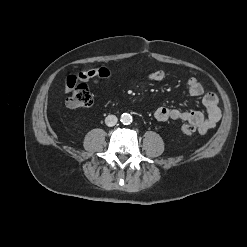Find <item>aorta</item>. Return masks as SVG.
<instances>
[{
	"label": "aorta",
	"mask_w": 247,
	"mask_h": 247,
	"mask_svg": "<svg viewBox=\"0 0 247 247\" xmlns=\"http://www.w3.org/2000/svg\"><path fill=\"white\" fill-rule=\"evenodd\" d=\"M121 122L124 124V125H128L132 122V116L129 114V113H123L121 115Z\"/></svg>",
	"instance_id": "762f6f07"
}]
</instances>
